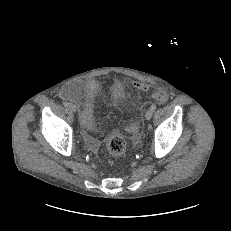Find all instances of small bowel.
Instances as JSON below:
<instances>
[{
	"mask_svg": "<svg viewBox=\"0 0 231 231\" xmlns=\"http://www.w3.org/2000/svg\"><path fill=\"white\" fill-rule=\"evenodd\" d=\"M99 89V83L95 79H89L85 82L71 84L65 91L67 98L76 101L81 107V125L84 130V139L92 151H97L99 142L90 132L97 129L92 111V99ZM123 96V95H122ZM122 96H115L114 101L118 102Z\"/></svg>",
	"mask_w": 231,
	"mask_h": 231,
	"instance_id": "1",
	"label": "small bowel"
}]
</instances>
